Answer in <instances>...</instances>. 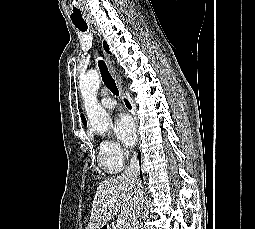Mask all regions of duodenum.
Here are the masks:
<instances>
[{
    "label": "duodenum",
    "instance_id": "obj_1",
    "mask_svg": "<svg viewBox=\"0 0 255 229\" xmlns=\"http://www.w3.org/2000/svg\"><path fill=\"white\" fill-rule=\"evenodd\" d=\"M101 229H109L108 225H103Z\"/></svg>",
    "mask_w": 255,
    "mask_h": 229
}]
</instances>
